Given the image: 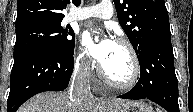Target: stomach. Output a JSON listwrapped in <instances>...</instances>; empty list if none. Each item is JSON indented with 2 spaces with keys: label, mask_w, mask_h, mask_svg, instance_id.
<instances>
[{
  "label": "stomach",
  "mask_w": 193,
  "mask_h": 112,
  "mask_svg": "<svg viewBox=\"0 0 193 112\" xmlns=\"http://www.w3.org/2000/svg\"><path fill=\"white\" fill-rule=\"evenodd\" d=\"M105 112H153L151 107L141 101H108L103 104Z\"/></svg>",
  "instance_id": "obj_1"
}]
</instances>
